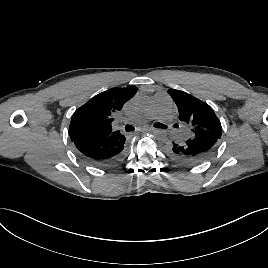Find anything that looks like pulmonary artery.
<instances>
[{
    "instance_id": "e3ab8cb5",
    "label": "pulmonary artery",
    "mask_w": 268,
    "mask_h": 268,
    "mask_svg": "<svg viewBox=\"0 0 268 268\" xmlns=\"http://www.w3.org/2000/svg\"><path fill=\"white\" fill-rule=\"evenodd\" d=\"M170 99L166 94H156L152 103L141 113H139L134 121L146 122L151 119H158L162 122H170L172 115L170 113ZM186 132H184V135Z\"/></svg>"
}]
</instances>
